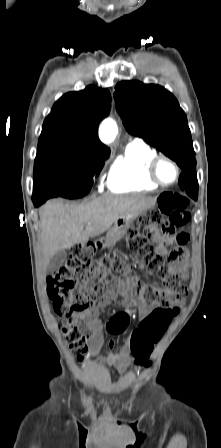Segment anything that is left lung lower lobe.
<instances>
[{"label":"left lung lower lobe","mask_w":221,"mask_h":448,"mask_svg":"<svg viewBox=\"0 0 221 448\" xmlns=\"http://www.w3.org/2000/svg\"><path fill=\"white\" fill-rule=\"evenodd\" d=\"M179 186L182 190H185L191 198L197 200L198 182L197 175L194 170H187L180 175Z\"/></svg>","instance_id":"0a47b994"}]
</instances>
